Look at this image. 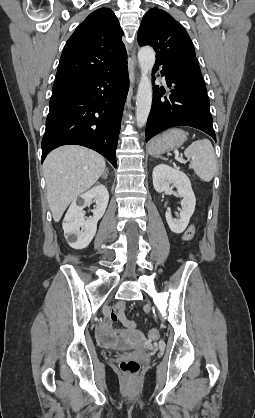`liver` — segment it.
I'll list each match as a JSON object with an SVG mask.
<instances>
[{"label": "liver", "instance_id": "6515ba94", "mask_svg": "<svg viewBox=\"0 0 255 418\" xmlns=\"http://www.w3.org/2000/svg\"><path fill=\"white\" fill-rule=\"evenodd\" d=\"M105 167L99 153L81 146H62L47 156L43 168L48 204L55 222H59L77 196L97 182Z\"/></svg>", "mask_w": 255, "mask_h": 418}]
</instances>
